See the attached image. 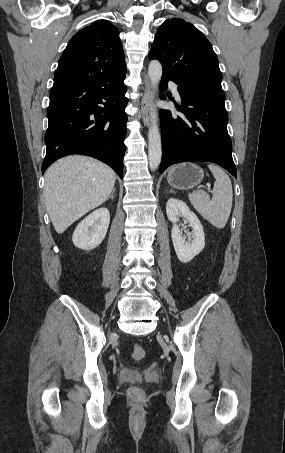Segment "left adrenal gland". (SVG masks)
I'll return each instance as SVG.
<instances>
[{
  "mask_svg": "<svg viewBox=\"0 0 285 453\" xmlns=\"http://www.w3.org/2000/svg\"><path fill=\"white\" fill-rule=\"evenodd\" d=\"M169 192H170V193H173V190H170Z\"/></svg>",
  "mask_w": 285,
  "mask_h": 453,
  "instance_id": "obj_1",
  "label": "left adrenal gland"
}]
</instances>
